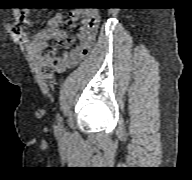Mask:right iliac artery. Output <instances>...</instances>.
Here are the masks:
<instances>
[{
  "instance_id": "82829eb1",
  "label": "right iliac artery",
  "mask_w": 192,
  "mask_h": 180,
  "mask_svg": "<svg viewBox=\"0 0 192 180\" xmlns=\"http://www.w3.org/2000/svg\"><path fill=\"white\" fill-rule=\"evenodd\" d=\"M57 123H58V126L60 127L62 123V118L59 115L57 117Z\"/></svg>"
}]
</instances>
